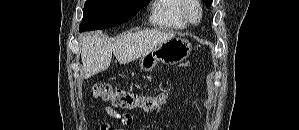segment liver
Wrapping results in <instances>:
<instances>
[{
	"label": "liver",
	"mask_w": 299,
	"mask_h": 130,
	"mask_svg": "<svg viewBox=\"0 0 299 130\" xmlns=\"http://www.w3.org/2000/svg\"><path fill=\"white\" fill-rule=\"evenodd\" d=\"M174 36L173 32L146 29L126 34L111 43L102 32L85 33L80 37L84 77L89 78L106 70L110 66L112 54L120 64H127Z\"/></svg>",
	"instance_id": "liver-1"
}]
</instances>
